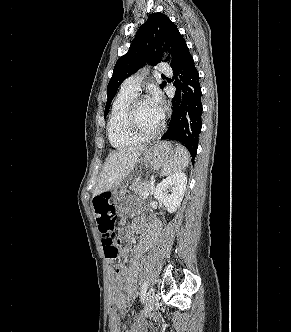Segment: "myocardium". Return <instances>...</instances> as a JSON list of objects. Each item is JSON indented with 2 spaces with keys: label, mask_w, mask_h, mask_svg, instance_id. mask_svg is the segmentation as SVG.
<instances>
[{
  "label": "myocardium",
  "mask_w": 291,
  "mask_h": 332,
  "mask_svg": "<svg viewBox=\"0 0 291 332\" xmlns=\"http://www.w3.org/2000/svg\"><path fill=\"white\" fill-rule=\"evenodd\" d=\"M149 98L145 96H137L135 97L132 102L129 105L128 112H127V118H126V123H127V129L128 131L135 136L136 138L140 140H147V139H152L157 137L164 129L165 127V115L163 110L160 109L161 111V123L158 126L157 129H155L152 132H143L137 122V111L139 108V105L144 102L148 101Z\"/></svg>",
  "instance_id": "1"
}]
</instances>
